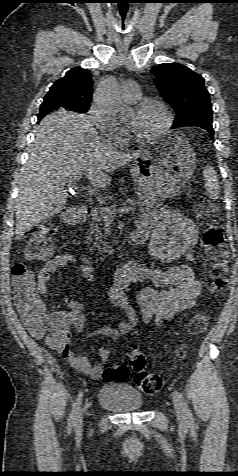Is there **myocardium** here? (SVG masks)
<instances>
[{
    "mask_svg": "<svg viewBox=\"0 0 238 476\" xmlns=\"http://www.w3.org/2000/svg\"><path fill=\"white\" fill-rule=\"evenodd\" d=\"M149 106L159 107L164 113L165 120H164L163 125L158 130H156L153 133H151L149 135H146V136H140V135L136 134L132 129L129 128V131H130L132 137L135 140L139 141V142L152 141V140H155V139L165 135L170 130V128L173 124V121H174L173 113H172V110H171L170 106L166 102H164L162 100H159V99H145V100L137 103L134 107V110L135 111H141L144 108L149 107Z\"/></svg>",
    "mask_w": 238,
    "mask_h": 476,
    "instance_id": "f54148a6",
    "label": "myocardium"
}]
</instances>
